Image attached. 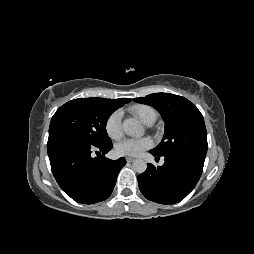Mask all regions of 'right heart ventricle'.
I'll list each match as a JSON object with an SVG mask.
<instances>
[{
    "label": "right heart ventricle",
    "mask_w": 254,
    "mask_h": 254,
    "mask_svg": "<svg viewBox=\"0 0 254 254\" xmlns=\"http://www.w3.org/2000/svg\"><path fill=\"white\" fill-rule=\"evenodd\" d=\"M130 112L136 115L146 125L153 124L158 117V114L154 108L144 104L132 106L130 108Z\"/></svg>",
    "instance_id": "1"
}]
</instances>
